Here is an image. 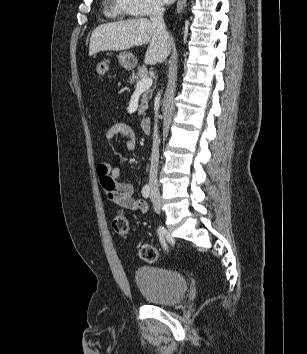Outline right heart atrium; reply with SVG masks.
<instances>
[{
  "instance_id": "d8ad5b80",
  "label": "right heart atrium",
  "mask_w": 307,
  "mask_h": 354,
  "mask_svg": "<svg viewBox=\"0 0 307 354\" xmlns=\"http://www.w3.org/2000/svg\"><path fill=\"white\" fill-rule=\"evenodd\" d=\"M132 15L147 16L162 10L161 0H122Z\"/></svg>"
}]
</instances>
